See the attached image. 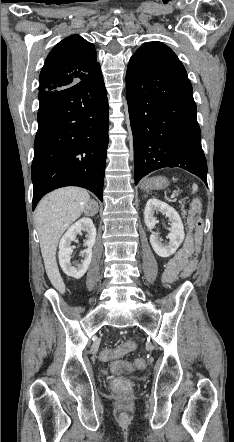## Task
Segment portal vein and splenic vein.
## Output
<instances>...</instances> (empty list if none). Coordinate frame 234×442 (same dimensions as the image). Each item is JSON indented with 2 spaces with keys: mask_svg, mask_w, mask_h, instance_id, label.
Wrapping results in <instances>:
<instances>
[{
  "mask_svg": "<svg viewBox=\"0 0 234 442\" xmlns=\"http://www.w3.org/2000/svg\"><path fill=\"white\" fill-rule=\"evenodd\" d=\"M176 194H177L176 192H173L170 197L175 198Z\"/></svg>",
  "mask_w": 234,
  "mask_h": 442,
  "instance_id": "18ae733b",
  "label": "portal vein and splenic vein"
}]
</instances>
